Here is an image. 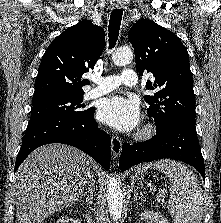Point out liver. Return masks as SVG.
<instances>
[{"instance_id":"liver-1","label":"liver","mask_w":221,"mask_h":223,"mask_svg":"<svg viewBox=\"0 0 221 223\" xmlns=\"http://www.w3.org/2000/svg\"><path fill=\"white\" fill-rule=\"evenodd\" d=\"M93 160L80 150L48 144L34 150L20 165L14 182L19 223H41L75 203L89 183Z\"/></svg>"}]
</instances>
